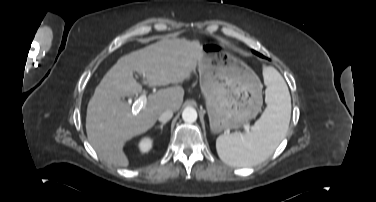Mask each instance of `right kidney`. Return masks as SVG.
Returning a JSON list of instances; mask_svg holds the SVG:
<instances>
[{
    "mask_svg": "<svg viewBox=\"0 0 376 202\" xmlns=\"http://www.w3.org/2000/svg\"><path fill=\"white\" fill-rule=\"evenodd\" d=\"M153 145V139L149 136L143 137L139 142H138V147L139 150L142 153H146L151 150Z\"/></svg>",
    "mask_w": 376,
    "mask_h": 202,
    "instance_id": "ca27d5eb",
    "label": "right kidney"
}]
</instances>
